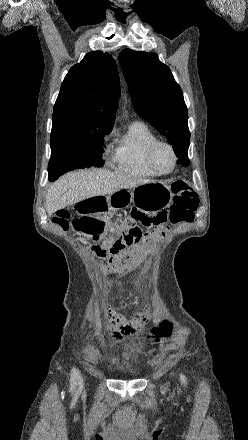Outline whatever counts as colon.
<instances>
[{
    "instance_id": "5ec220e1",
    "label": "colon",
    "mask_w": 248,
    "mask_h": 440,
    "mask_svg": "<svg viewBox=\"0 0 248 440\" xmlns=\"http://www.w3.org/2000/svg\"><path fill=\"white\" fill-rule=\"evenodd\" d=\"M172 191L173 204L168 209L150 215L143 207L137 206L129 217L117 221L116 227L124 230L122 237L117 239L108 251L99 253L106 258L109 270H121L139 262L144 252L149 250L160 237L165 236L168 223L190 221L193 218L197 208L196 193L181 180L172 183ZM53 222L62 228H67V213L58 212ZM130 245L140 247L125 250L126 246ZM163 330L168 333L169 326L163 325Z\"/></svg>"
}]
</instances>
